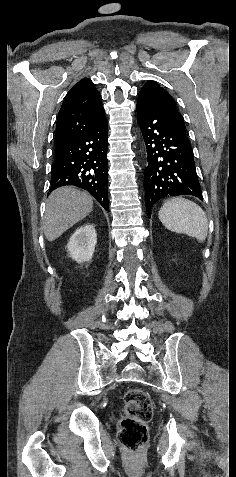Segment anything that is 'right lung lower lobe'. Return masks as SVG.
Returning a JSON list of instances; mask_svg holds the SVG:
<instances>
[{
    "label": "right lung lower lobe",
    "instance_id": "right-lung-lower-lobe-1",
    "mask_svg": "<svg viewBox=\"0 0 236 477\" xmlns=\"http://www.w3.org/2000/svg\"><path fill=\"white\" fill-rule=\"evenodd\" d=\"M107 120L55 152L50 191L74 185L87 190L104 208L108 203Z\"/></svg>",
    "mask_w": 236,
    "mask_h": 477
}]
</instances>
